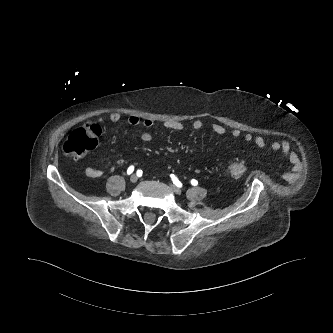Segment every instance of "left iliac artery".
I'll list each match as a JSON object with an SVG mask.
<instances>
[{
    "instance_id": "obj_1",
    "label": "left iliac artery",
    "mask_w": 333,
    "mask_h": 333,
    "mask_svg": "<svg viewBox=\"0 0 333 333\" xmlns=\"http://www.w3.org/2000/svg\"><path fill=\"white\" fill-rule=\"evenodd\" d=\"M171 178H172V180H173V183H174L177 187H181V186H182L181 182L175 177V175L171 174ZM191 184H192L193 186H197L198 181L195 180V179H192V180H191Z\"/></svg>"
}]
</instances>
